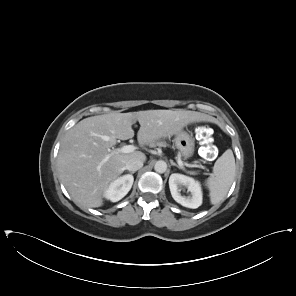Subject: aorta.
<instances>
[{"label":"aorta","instance_id":"aorta-1","mask_svg":"<svg viewBox=\"0 0 296 296\" xmlns=\"http://www.w3.org/2000/svg\"><path fill=\"white\" fill-rule=\"evenodd\" d=\"M154 170L158 173H164L167 170V164L163 160H159L155 163Z\"/></svg>","mask_w":296,"mask_h":296}]
</instances>
